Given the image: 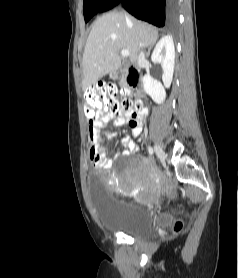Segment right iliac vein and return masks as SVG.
<instances>
[{
  "label": "right iliac vein",
  "mask_w": 238,
  "mask_h": 278,
  "mask_svg": "<svg viewBox=\"0 0 238 278\" xmlns=\"http://www.w3.org/2000/svg\"><path fill=\"white\" fill-rule=\"evenodd\" d=\"M154 150H155V153L156 155L160 158V159H163L165 157V152L164 150L162 149V147L158 144H156L154 146Z\"/></svg>",
  "instance_id": "1"
}]
</instances>
